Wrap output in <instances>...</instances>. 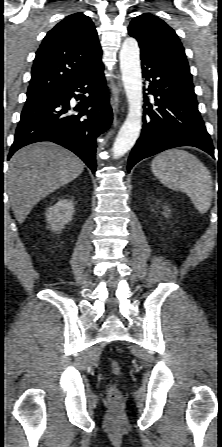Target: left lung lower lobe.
<instances>
[{"instance_id":"obj_1","label":"left lung lower lobe","mask_w":222,"mask_h":447,"mask_svg":"<svg viewBox=\"0 0 222 447\" xmlns=\"http://www.w3.org/2000/svg\"><path fill=\"white\" fill-rule=\"evenodd\" d=\"M142 74L155 97L144 95L143 129L128 159V172L140 160L169 148L194 146L214 157L211 138L198 111L192 80L159 57L141 51Z\"/></svg>"}]
</instances>
